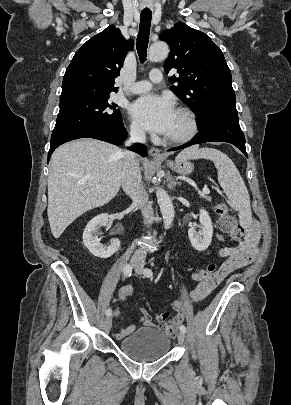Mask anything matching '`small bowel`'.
<instances>
[{
	"label": "small bowel",
	"instance_id": "obj_1",
	"mask_svg": "<svg viewBox=\"0 0 291 405\" xmlns=\"http://www.w3.org/2000/svg\"><path fill=\"white\" fill-rule=\"evenodd\" d=\"M219 240H222L221 235H217ZM260 240V226L257 222H252L247 228V235L243 242L234 247H224L218 252L220 258H224L223 264L216 272L214 278L210 281L201 282L198 286L191 291V298L193 301L198 302L205 299L215 287L233 271L249 265L258 253V246ZM174 310L177 312L176 316L172 317L170 312L164 311L156 315L155 321L144 310H140V317L138 323L131 324L115 334L118 340L130 335L138 326L155 327L160 329L167 336H174L178 331L180 323L184 320L183 301L176 300L172 304ZM121 313L119 308L113 310V316L117 317Z\"/></svg>",
	"mask_w": 291,
	"mask_h": 405
}]
</instances>
